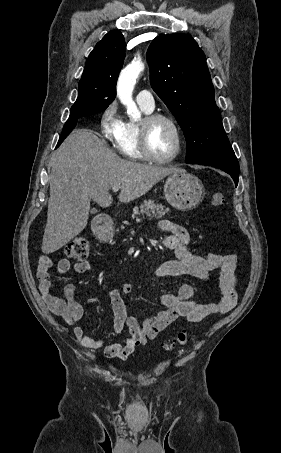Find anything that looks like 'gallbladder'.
<instances>
[{"label":"gallbladder","instance_id":"1","mask_svg":"<svg viewBox=\"0 0 281 453\" xmlns=\"http://www.w3.org/2000/svg\"><path fill=\"white\" fill-rule=\"evenodd\" d=\"M91 212L92 214H95V212H98V210H96V208H92Z\"/></svg>","mask_w":281,"mask_h":453}]
</instances>
